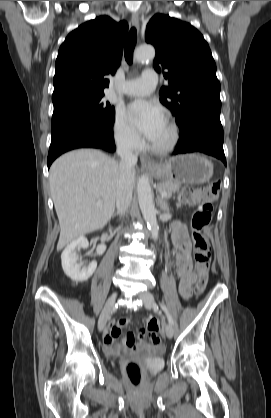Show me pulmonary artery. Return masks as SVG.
<instances>
[{"label": "pulmonary artery", "mask_w": 271, "mask_h": 418, "mask_svg": "<svg viewBox=\"0 0 271 418\" xmlns=\"http://www.w3.org/2000/svg\"><path fill=\"white\" fill-rule=\"evenodd\" d=\"M157 82V73L153 69H146L140 77L126 81L119 91L129 96H146L153 91Z\"/></svg>", "instance_id": "e3ab8cb5"}]
</instances>
